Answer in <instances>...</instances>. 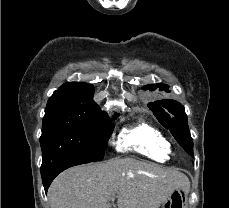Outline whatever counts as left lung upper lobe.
I'll use <instances>...</instances> for the list:
<instances>
[{
  "mask_svg": "<svg viewBox=\"0 0 229 208\" xmlns=\"http://www.w3.org/2000/svg\"><path fill=\"white\" fill-rule=\"evenodd\" d=\"M170 92L169 86L165 84L147 85L145 90ZM148 107L152 110L158 121L169 129L176 141L183 149L193 147V141L189 132L187 115L183 105L175 100H159L151 102Z\"/></svg>",
  "mask_w": 229,
  "mask_h": 208,
  "instance_id": "left-lung-upper-lobe-1",
  "label": "left lung upper lobe"
}]
</instances>
